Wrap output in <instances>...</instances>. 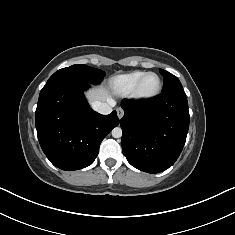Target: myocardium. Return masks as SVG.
Here are the masks:
<instances>
[{"mask_svg":"<svg viewBox=\"0 0 235 235\" xmlns=\"http://www.w3.org/2000/svg\"><path fill=\"white\" fill-rule=\"evenodd\" d=\"M149 75H155L157 77V80H158V85H157V88L155 89V91L151 92V93H143L141 91V86H142V83L144 82V80L149 76ZM161 89H162V81H161V78L160 76L155 73V72H146L140 79L139 81L137 82L133 92H132V96L135 98V99H138V100H150V99H153L155 98L156 96L159 95V93L161 92Z\"/></svg>","mask_w":235,"mask_h":235,"instance_id":"obj_1","label":"myocardium"}]
</instances>
